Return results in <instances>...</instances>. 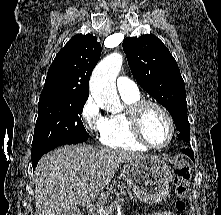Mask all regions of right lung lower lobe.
I'll return each instance as SVG.
<instances>
[{"label":"right lung lower lobe","mask_w":221,"mask_h":215,"mask_svg":"<svg viewBox=\"0 0 221 215\" xmlns=\"http://www.w3.org/2000/svg\"><path fill=\"white\" fill-rule=\"evenodd\" d=\"M85 140H87V137L84 138V139H82V140H79V141L70 143V144L80 143V142H83V141H85ZM54 148H55V147L49 148V149H47V150H45V151H42V152H39V153H37V154H35V155H31V157H32V166H33V169H35V167L37 166V163H38L39 159H40L45 153H47L48 151H50V150H52V149H54Z\"/></svg>","instance_id":"1"}]
</instances>
